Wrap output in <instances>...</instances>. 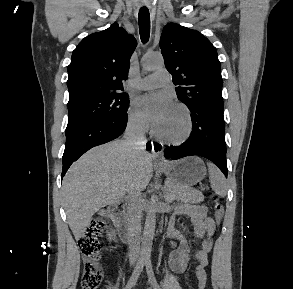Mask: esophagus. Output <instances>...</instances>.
<instances>
[{
    "label": "esophagus",
    "instance_id": "obj_1",
    "mask_svg": "<svg viewBox=\"0 0 293 289\" xmlns=\"http://www.w3.org/2000/svg\"><path fill=\"white\" fill-rule=\"evenodd\" d=\"M152 157L156 161H165L163 157V145L161 143H152Z\"/></svg>",
    "mask_w": 293,
    "mask_h": 289
}]
</instances>
